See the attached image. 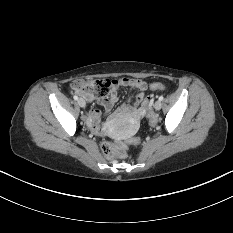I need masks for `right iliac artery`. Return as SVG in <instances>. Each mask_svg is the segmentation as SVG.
Here are the masks:
<instances>
[{"mask_svg": "<svg viewBox=\"0 0 233 233\" xmlns=\"http://www.w3.org/2000/svg\"><path fill=\"white\" fill-rule=\"evenodd\" d=\"M75 100H78V97L75 95L74 97H73Z\"/></svg>", "mask_w": 233, "mask_h": 233, "instance_id": "obj_1", "label": "right iliac artery"}]
</instances>
